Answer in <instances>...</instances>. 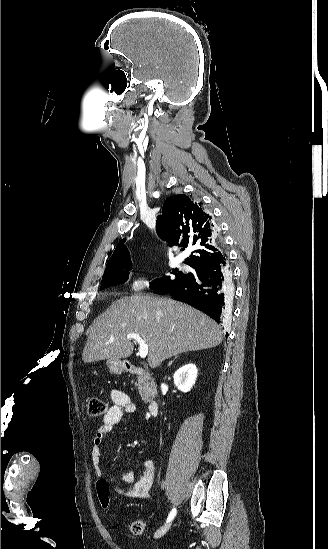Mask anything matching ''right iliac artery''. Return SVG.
<instances>
[{
  "instance_id": "82829eb1",
  "label": "right iliac artery",
  "mask_w": 328,
  "mask_h": 549,
  "mask_svg": "<svg viewBox=\"0 0 328 549\" xmlns=\"http://www.w3.org/2000/svg\"><path fill=\"white\" fill-rule=\"evenodd\" d=\"M176 515V509H172V511L170 512L168 518H167V522H170L171 520H173V518L175 517Z\"/></svg>"
}]
</instances>
